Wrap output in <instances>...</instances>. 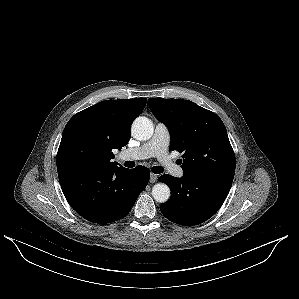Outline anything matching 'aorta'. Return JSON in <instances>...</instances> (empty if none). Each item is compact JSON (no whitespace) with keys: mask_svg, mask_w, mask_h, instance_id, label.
<instances>
[{"mask_svg":"<svg viewBox=\"0 0 299 299\" xmlns=\"http://www.w3.org/2000/svg\"><path fill=\"white\" fill-rule=\"evenodd\" d=\"M154 126L151 120L146 117H138L131 126L132 136L140 141L148 140L152 137ZM170 188L164 183H157L152 188V196L155 201L164 203L170 198Z\"/></svg>","mask_w":299,"mask_h":299,"instance_id":"obj_1","label":"aorta"}]
</instances>
